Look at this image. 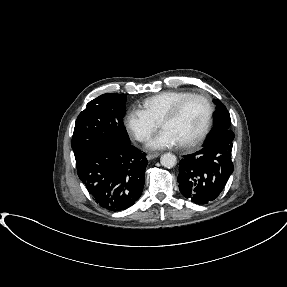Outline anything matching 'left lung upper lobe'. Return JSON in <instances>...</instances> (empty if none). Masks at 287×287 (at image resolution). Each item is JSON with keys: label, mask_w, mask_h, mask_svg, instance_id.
<instances>
[{"label": "left lung upper lobe", "mask_w": 287, "mask_h": 287, "mask_svg": "<svg viewBox=\"0 0 287 287\" xmlns=\"http://www.w3.org/2000/svg\"><path fill=\"white\" fill-rule=\"evenodd\" d=\"M216 105V112L214 114V128L207 138V141L212 140L224 131L230 130L231 119L226 107L219 101L213 100Z\"/></svg>", "instance_id": "5c2ea615"}]
</instances>
